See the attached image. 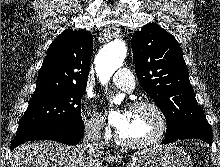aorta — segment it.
<instances>
[{
	"label": "aorta",
	"mask_w": 220,
	"mask_h": 167,
	"mask_svg": "<svg viewBox=\"0 0 220 167\" xmlns=\"http://www.w3.org/2000/svg\"><path fill=\"white\" fill-rule=\"evenodd\" d=\"M127 48L122 40L116 39L105 45L95 58L96 72L100 82L106 84L113 73L123 65L126 58ZM119 103V99H114Z\"/></svg>",
	"instance_id": "762f6f07"
}]
</instances>
